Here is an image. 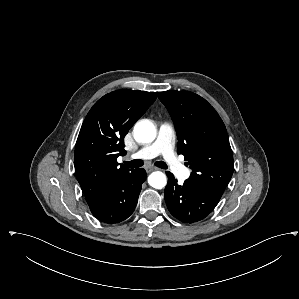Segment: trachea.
Returning a JSON list of instances; mask_svg holds the SVG:
<instances>
[{
  "mask_svg": "<svg viewBox=\"0 0 299 299\" xmlns=\"http://www.w3.org/2000/svg\"><path fill=\"white\" fill-rule=\"evenodd\" d=\"M124 163H125L126 166H128L130 168H138V167L143 166V161L139 160V159H135V160H132V161H129V162H124ZM155 165L159 168L167 169L166 163H164L162 161L155 162Z\"/></svg>",
  "mask_w": 299,
  "mask_h": 299,
  "instance_id": "trachea-1",
  "label": "trachea"
}]
</instances>
